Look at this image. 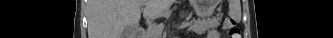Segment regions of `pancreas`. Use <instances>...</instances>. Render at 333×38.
Segmentation results:
<instances>
[{"mask_svg": "<svg viewBox=\"0 0 333 38\" xmlns=\"http://www.w3.org/2000/svg\"><path fill=\"white\" fill-rule=\"evenodd\" d=\"M195 30L196 29V26L195 27H191L189 28V30ZM160 31V27L159 26H154L153 28L149 29L148 32H147V38H154L155 36L158 35Z\"/></svg>", "mask_w": 333, "mask_h": 38, "instance_id": "obj_1", "label": "pancreas"}]
</instances>
